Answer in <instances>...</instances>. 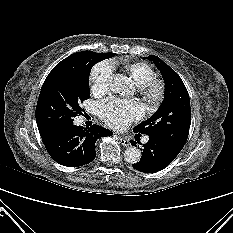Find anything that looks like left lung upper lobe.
<instances>
[{"mask_svg":"<svg viewBox=\"0 0 233 233\" xmlns=\"http://www.w3.org/2000/svg\"><path fill=\"white\" fill-rule=\"evenodd\" d=\"M160 70L165 82V95L159 109L133 131L164 142L177 151L184 147L191 124L190 99L179 75L159 57H148Z\"/></svg>","mask_w":233,"mask_h":233,"instance_id":"5c2ea615","label":"left lung upper lobe"}]
</instances>
